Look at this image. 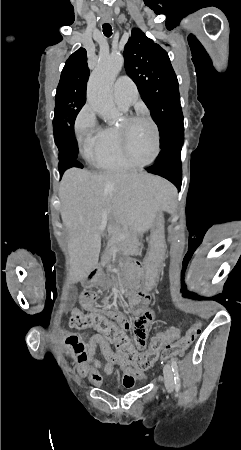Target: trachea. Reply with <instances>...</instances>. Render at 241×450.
Returning a JSON list of instances; mask_svg holds the SVG:
<instances>
[{
  "label": "trachea",
  "instance_id": "obj_1",
  "mask_svg": "<svg viewBox=\"0 0 241 450\" xmlns=\"http://www.w3.org/2000/svg\"><path fill=\"white\" fill-rule=\"evenodd\" d=\"M103 33H104L105 37H108V38L111 37V35H112V27H111V25L109 23H105L103 25Z\"/></svg>",
  "mask_w": 241,
  "mask_h": 450
}]
</instances>
